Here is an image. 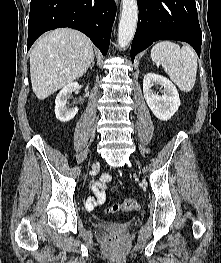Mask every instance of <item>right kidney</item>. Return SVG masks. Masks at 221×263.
Instances as JSON below:
<instances>
[{"mask_svg":"<svg viewBox=\"0 0 221 263\" xmlns=\"http://www.w3.org/2000/svg\"><path fill=\"white\" fill-rule=\"evenodd\" d=\"M79 89L77 82H72L62 88L55 99V115L56 118L61 122H68L72 120L78 112V108L68 109L66 107L67 99L72 92Z\"/></svg>","mask_w":221,"mask_h":263,"instance_id":"1","label":"right kidney"}]
</instances>
